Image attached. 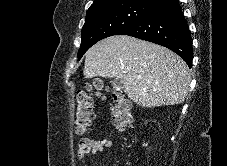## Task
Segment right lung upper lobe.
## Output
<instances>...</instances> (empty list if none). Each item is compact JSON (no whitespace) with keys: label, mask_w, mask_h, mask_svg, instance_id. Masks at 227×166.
<instances>
[{"label":"right lung upper lobe","mask_w":227,"mask_h":166,"mask_svg":"<svg viewBox=\"0 0 227 166\" xmlns=\"http://www.w3.org/2000/svg\"><path fill=\"white\" fill-rule=\"evenodd\" d=\"M164 1L165 0H94L93 4L90 6L87 12L128 2L147 4L156 7L157 5L161 4Z\"/></svg>","instance_id":"1"}]
</instances>
